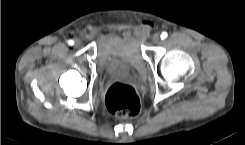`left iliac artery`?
I'll use <instances>...</instances> for the list:
<instances>
[{"label":"left iliac artery","mask_w":245,"mask_h":145,"mask_svg":"<svg viewBox=\"0 0 245 145\" xmlns=\"http://www.w3.org/2000/svg\"><path fill=\"white\" fill-rule=\"evenodd\" d=\"M167 36H168L167 32L164 31L161 33V39H165L167 38Z\"/></svg>","instance_id":"left-iliac-artery-1"}]
</instances>
